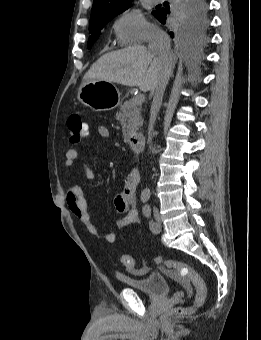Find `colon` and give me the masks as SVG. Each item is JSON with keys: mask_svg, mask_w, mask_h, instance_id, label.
<instances>
[{"mask_svg": "<svg viewBox=\"0 0 261 340\" xmlns=\"http://www.w3.org/2000/svg\"><path fill=\"white\" fill-rule=\"evenodd\" d=\"M67 129L69 139L73 143L79 142L85 137V123L78 114H71L69 116L67 120ZM156 261L166 269L176 273L177 276L186 283L191 284L196 291L193 306L191 308H176L174 310L176 314L187 313L204 304L207 297V287L203 278L197 271L188 264L173 259L157 258ZM120 262L130 271L136 273L140 272V270L136 268V262L133 257L123 254L120 256Z\"/></svg>", "mask_w": 261, "mask_h": 340, "instance_id": "5ec220e1", "label": "colon"}]
</instances>
